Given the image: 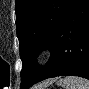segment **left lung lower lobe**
I'll list each match as a JSON object with an SVG mask.
<instances>
[{
    "label": "left lung lower lobe",
    "instance_id": "left-lung-lower-lobe-1",
    "mask_svg": "<svg viewBox=\"0 0 89 89\" xmlns=\"http://www.w3.org/2000/svg\"><path fill=\"white\" fill-rule=\"evenodd\" d=\"M51 57L26 89L44 79L62 75L89 79V0H72L56 30Z\"/></svg>",
    "mask_w": 89,
    "mask_h": 89
}]
</instances>
